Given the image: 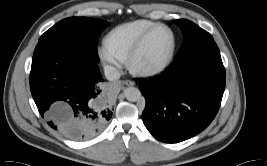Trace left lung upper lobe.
Listing matches in <instances>:
<instances>
[{
    "instance_id": "5c2ea615",
    "label": "left lung upper lobe",
    "mask_w": 267,
    "mask_h": 166,
    "mask_svg": "<svg viewBox=\"0 0 267 166\" xmlns=\"http://www.w3.org/2000/svg\"><path fill=\"white\" fill-rule=\"evenodd\" d=\"M176 23L184 34V41L176 59L185 57L201 45L214 43L212 36L195 23L186 19H178L176 20Z\"/></svg>"
}]
</instances>
